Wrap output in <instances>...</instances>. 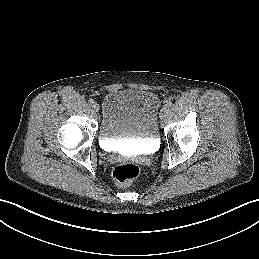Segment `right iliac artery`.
<instances>
[{
    "label": "right iliac artery",
    "instance_id": "82829eb1",
    "mask_svg": "<svg viewBox=\"0 0 259 259\" xmlns=\"http://www.w3.org/2000/svg\"><path fill=\"white\" fill-rule=\"evenodd\" d=\"M89 104L93 105L95 103V101L93 99H89L88 100Z\"/></svg>",
    "mask_w": 259,
    "mask_h": 259
}]
</instances>
